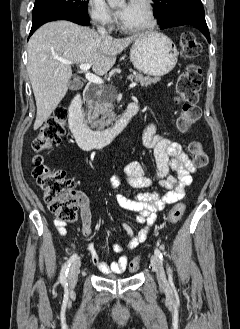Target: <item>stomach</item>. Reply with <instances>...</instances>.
<instances>
[{"label": "stomach", "instance_id": "obj_1", "mask_svg": "<svg viewBox=\"0 0 240 329\" xmlns=\"http://www.w3.org/2000/svg\"><path fill=\"white\" fill-rule=\"evenodd\" d=\"M178 51L174 43L162 33H148L137 37L130 50V59L141 73L163 76L176 65Z\"/></svg>", "mask_w": 240, "mask_h": 329}]
</instances>
